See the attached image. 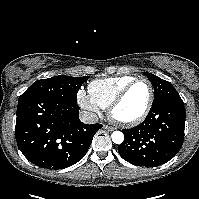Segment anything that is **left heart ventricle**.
Here are the masks:
<instances>
[{
  "mask_svg": "<svg viewBox=\"0 0 199 199\" xmlns=\"http://www.w3.org/2000/svg\"><path fill=\"white\" fill-rule=\"evenodd\" d=\"M148 98V84L143 81L136 83L129 90L122 103L115 109V117L120 120H130L138 117L143 112Z\"/></svg>",
  "mask_w": 199,
  "mask_h": 199,
  "instance_id": "1",
  "label": "left heart ventricle"
}]
</instances>
